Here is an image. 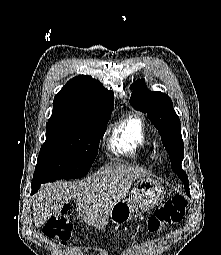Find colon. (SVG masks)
Segmentation results:
<instances>
[{
  "instance_id": "obj_1",
  "label": "colon",
  "mask_w": 221,
  "mask_h": 255,
  "mask_svg": "<svg viewBox=\"0 0 221 255\" xmlns=\"http://www.w3.org/2000/svg\"><path fill=\"white\" fill-rule=\"evenodd\" d=\"M186 206L187 202L181 196L165 201L150 216L147 223L148 230L153 232L162 226L180 222L185 215ZM72 228L70 208L68 205H65L59 213L47 220L43 233L47 238L55 239L61 244H65L71 236Z\"/></svg>"
}]
</instances>
